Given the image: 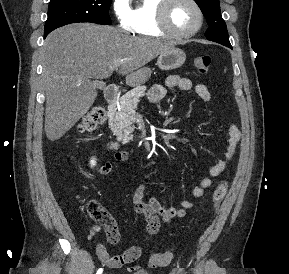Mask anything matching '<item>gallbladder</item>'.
Instances as JSON below:
<instances>
[{"label":"gallbladder","mask_w":289,"mask_h":274,"mask_svg":"<svg viewBox=\"0 0 289 274\" xmlns=\"http://www.w3.org/2000/svg\"><path fill=\"white\" fill-rule=\"evenodd\" d=\"M105 86H106L105 83L102 82V81H97V82H96V87H97V89H104Z\"/></svg>","instance_id":"bac80fb5"}]
</instances>
